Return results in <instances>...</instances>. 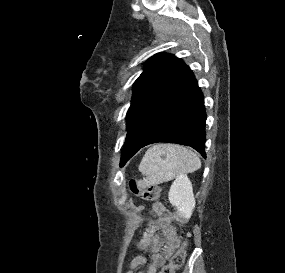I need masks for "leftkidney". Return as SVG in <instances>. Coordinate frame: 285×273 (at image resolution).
<instances>
[{"label":"left kidney","mask_w":285,"mask_h":273,"mask_svg":"<svg viewBox=\"0 0 285 273\" xmlns=\"http://www.w3.org/2000/svg\"><path fill=\"white\" fill-rule=\"evenodd\" d=\"M168 198L176 207L177 215L189 219L195 207L192 184L186 174L179 176L171 185Z\"/></svg>","instance_id":"left-kidney-1"}]
</instances>
